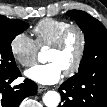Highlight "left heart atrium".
Returning a JSON list of instances; mask_svg holds the SVG:
<instances>
[{
  "mask_svg": "<svg viewBox=\"0 0 107 107\" xmlns=\"http://www.w3.org/2000/svg\"><path fill=\"white\" fill-rule=\"evenodd\" d=\"M63 72V69L57 62L50 61L46 64L33 66L25 72V75L36 83L51 85L57 83L62 78Z\"/></svg>",
  "mask_w": 107,
  "mask_h": 107,
  "instance_id": "left-heart-atrium-1",
  "label": "left heart atrium"
}]
</instances>
